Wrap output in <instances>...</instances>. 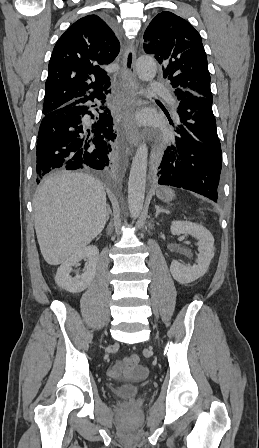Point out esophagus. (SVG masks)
Instances as JSON below:
<instances>
[{
    "instance_id": "obj_1",
    "label": "esophagus",
    "mask_w": 259,
    "mask_h": 448,
    "mask_svg": "<svg viewBox=\"0 0 259 448\" xmlns=\"http://www.w3.org/2000/svg\"><path fill=\"white\" fill-rule=\"evenodd\" d=\"M136 49L133 42H129L122 61V85L127 94L126 137L130 145L136 146L140 142V132L135 125V110L142 102L138 99V83L136 77Z\"/></svg>"
}]
</instances>
